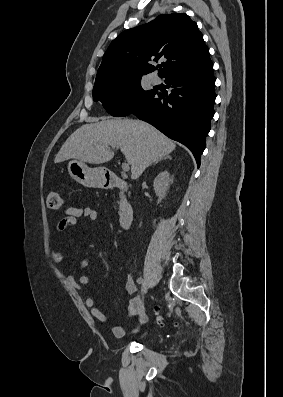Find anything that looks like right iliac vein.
Segmentation results:
<instances>
[{"mask_svg": "<svg viewBox=\"0 0 283 397\" xmlns=\"http://www.w3.org/2000/svg\"><path fill=\"white\" fill-rule=\"evenodd\" d=\"M148 285H149V283L147 280L143 282V284H142V292L143 293H145L147 291Z\"/></svg>", "mask_w": 283, "mask_h": 397, "instance_id": "right-iliac-vein-1", "label": "right iliac vein"}]
</instances>
